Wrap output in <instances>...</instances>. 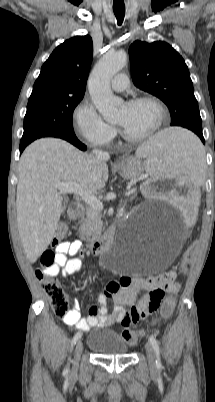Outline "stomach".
<instances>
[{
    "mask_svg": "<svg viewBox=\"0 0 215 402\" xmlns=\"http://www.w3.org/2000/svg\"><path fill=\"white\" fill-rule=\"evenodd\" d=\"M117 170L122 177L134 179L143 173L144 167L138 157L129 156L121 161Z\"/></svg>",
    "mask_w": 215,
    "mask_h": 402,
    "instance_id": "obj_1",
    "label": "stomach"
}]
</instances>
